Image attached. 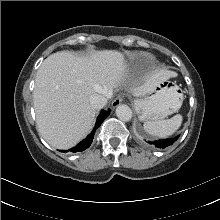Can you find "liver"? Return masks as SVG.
Listing matches in <instances>:
<instances>
[{
	"label": "liver",
	"mask_w": 220,
	"mask_h": 220,
	"mask_svg": "<svg viewBox=\"0 0 220 220\" xmlns=\"http://www.w3.org/2000/svg\"><path fill=\"white\" fill-rule=\"evenodd\" d=\"M126 70L125 56L116 50L93 51L86 57L60 51L47 57L37 71L33 92L42 137L58 149L76 145L93 125L95 109L90 97L111 90ZM173 76L169 71H156L133 93L144 95Z\"/></svg>",
	"instance_id": "1"
}]
</instances>
